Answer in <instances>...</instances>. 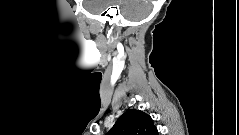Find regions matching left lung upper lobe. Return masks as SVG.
<instances>
[{
    "mask_svg": "<svg viewBox=\"0 0 239 135\" xmlns=\"http://www.w3.org/2000/svg\"><path fill=\"white\" fill-rule=\"evenodd\" d=\"M107 135H158V131L148 114L131 109L119 117Z\"/></svg>",
    "mask_w": 239,
    "mask_h": 135,
    "instance_id": "5c2ea615",
    "label": "left lung upper lobe"
}]
</instances>
